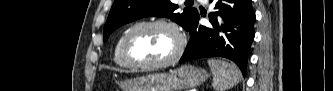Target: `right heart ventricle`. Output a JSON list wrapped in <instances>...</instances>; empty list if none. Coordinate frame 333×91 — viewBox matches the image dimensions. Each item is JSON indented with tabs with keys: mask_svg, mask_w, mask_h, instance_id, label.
Segmentation results:
<instances>
[{
	"mask_svg": "<svg viewBox=\"0 0 333 91\" xmlns=\"http://www.w3.org/2000/svg\"><path fill=\"white\" fill-rule=\"evenodd\" d=\"M127 30L123 31L118 37L114 47V62L121 68H132L123 58L121 52L122 40Z\"/></svg>",
	"mask_w": 333,
	"mask_h": 91,
	"instance_id": "e07e8e85",
	"label": "right heart ventricle"
}]
</instances>
